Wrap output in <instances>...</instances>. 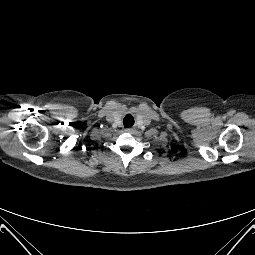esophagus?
I'll use <instances>...</instances> for the list:
<instances>
[{
    "label": "esophagus",
    "instance_id": "obj_1",
    "mask_svg": "<svg viewBox=\"0 0 255 255\" xmlns=\"http://www.w3.org/2000/svg\"><path fill=\"white\" fill-rule=\"evenodd\" d=\"M126 132L130 133L132 132V129L131 128L126 129Z\"/></svg>",
    "mask_w": 255,
    "mask_h": 255
}]
</instances>
